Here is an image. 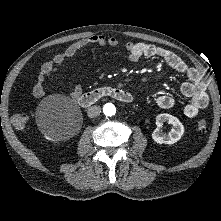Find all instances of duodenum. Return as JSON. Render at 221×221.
<instances>
[{
  "instance_id": "duodenum-1",
  "label": "duodenum",
  "mask_w": 221,
  "mask_h": 221,
  "mask_svg": "<svg viewBox=\"0 0 221 221\" xmlns=\"http://www.w3.org/2000/svg\"><path fill=\"white\" fill-rule=\"evenodd\" d=\"M104 97H110L125 104L131 103L133 100L132 95L128 91L106 86L80 94L77 101L82 107H90Z\"/></svg>"
}]
</instances>
